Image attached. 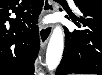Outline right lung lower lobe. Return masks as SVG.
Returning <instances> with one entry per match:
<instances>
[{"label":"right lung lower lobe","mask_w":102,"mask_h":75,"mask_svg":"<svg viewBox=\"0 0 102 75\" xmlns=\"http://www.w3.org/2000/svg\"><path fill=\"white\" fill-rule=\"evenodd\" d=\"M44 0H0V75H33ZM12 10L15 19H10Z\"/></svg>","instance_id":"right-lung-lower-lobe-1"}]
</instances>
